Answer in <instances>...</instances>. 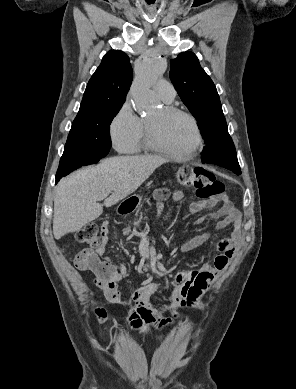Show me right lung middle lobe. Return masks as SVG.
<instances>
[{
	"label": "right lung middle lobe",
	"instance_id": "right-lung-middle-lobe-1",
	"mask_svg": "<svg viewBox=\"0 0 296 389\" xmlns=\"http://www.w3.org/2000/svg\"><path fill=\"white\" fill-rule=\"evenodd\" d=\"M120 108L99 110L73 121L58 171L97 163L108 154L109 126Z\"/></svg>",
	"mask_w": 296,
	"mask_h": 389
}]
</instances>
